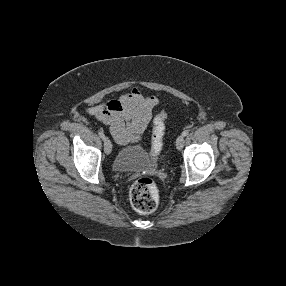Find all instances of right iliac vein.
Returning <instances> with one entry per match:
<instances>
[{
    "instance_id": "1",
    "label": "right iliac vein",
    "mask_w": 286,
    "mask_h": 286,
    "mask_svg": "<svg viewBox=\"0 0 286 286\" xmlns=\"http://www.w3.org/2000/svg\"><path fill=\"white\" fill-rule=\"evenodd\" d=\"M103 141H104V151L107 155H109L112 151L111 141L107 137H105Z\"/></svg>"
}]
</instances>
